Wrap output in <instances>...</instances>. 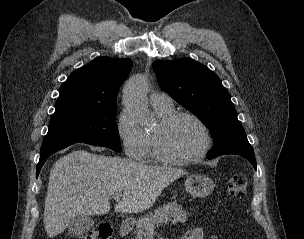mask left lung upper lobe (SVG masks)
Wrapping results in <instances>:
<instances>
[{
  "instance_id": "1",
  "label": "left lung upper lobe",
  "mask_w": 304,
  "mask_h": 239,
  "mask_svg": "<svg viewBox=\"0 0 304 239\" xmlns=\"http://www.w3.org/2000/svg\"><path fill=\"white\" fill-rule=\"evenodd\" d=\"M152 66L162 90L209 128L215 147L208 156L254 155L230 94L213 71L192 59L158 60Z\"/></svg>"
}]
</instances>
